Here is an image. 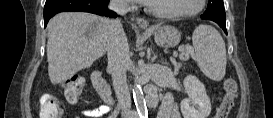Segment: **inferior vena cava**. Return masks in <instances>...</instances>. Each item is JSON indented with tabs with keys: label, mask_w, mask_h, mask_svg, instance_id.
<instances>
[{
	"label": "inferior vena cava",
	"mask_w": 273,
	"mask_h": 118,
	"mask_svg": "<svg viewBox=\"0 0 273 118\" xmlns=\"http://www.w3.org/2000/svg\"><path fill=\"white\" fill-rule=\"evenodd\" d=\"M109 8L120 15L129 11L126 0H111ZM108 71L112 74L113 87L122 114L125 115L131 108V97L126 81V71L130 64L129 46L127 37L119 18L110 20L107 36Z\"/></svg>",
	"instance_id": "1"
}]
</instances>
